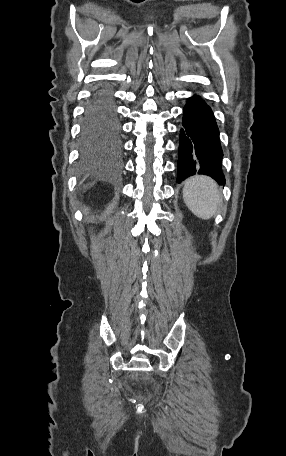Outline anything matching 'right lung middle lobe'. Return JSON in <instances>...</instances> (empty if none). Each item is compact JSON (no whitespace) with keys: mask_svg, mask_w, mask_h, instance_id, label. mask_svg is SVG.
<instances>
[{"mask_svg":"<svg viewBox=\"0 0 286 456\" xmlns=\"http://www.w3.org/2000/svg\"><path fill=\"white\" fill-rule=\"evenodd\" d=\"M108 131L116 133L115 125L108 124L104 121H100L94 118L85 119L84 132L87 135V137L95 139L104 135Z\"/></svg>","mask_w":286,"mask_h":456,"instance_id":"dd1d6c3e","label":"right lung middle lobe"}]
</instances>
